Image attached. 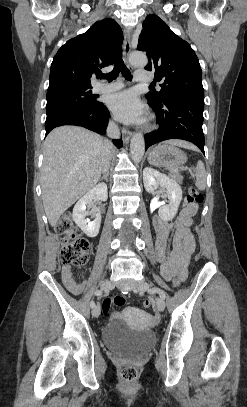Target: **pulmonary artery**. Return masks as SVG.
Here are the masks:
<instances>
[{
    "mask_svg": "<svg viewBox=\"0 0 247 407\" xmlns=\"http://www.w3.org/2000/svg\"><path fill=\"white\" fill-rule=\"evenodd\" d=\"M134 80L138 83H148L152 81V77L149 72L137 70L135 71ZM123 83L120 81H114L111 83H97L94 86V91L97 93L111 92L119 90L123 87Z\"/></svg>",
    "mask_w": 247,
    "mask_h": 407,
    "instance_id": "obj_1",
    "label": "pulmonary artery"
}]
</instances>
